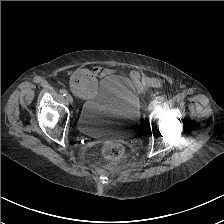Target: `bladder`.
Instances as JSON below:
<instances>
[{
    "mask_svg": "<svg viewBox=\"0 0 224 224\" xmlns=\"http://www.w3.org/2000/svg\"><path fill=\"white\" fill-rule=\"evenodd\" d=\"M138 98L115 77L100 81L96 92L85 99L78 117V130L96 139L128 140L139 129Z\"/></svg>",
    "mask_w": 224,
    "mask_h": 224,
    "instance_id": "31cf9c89",
    "label": "bladder"
}]
</instances>
